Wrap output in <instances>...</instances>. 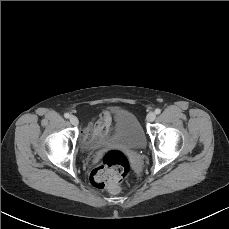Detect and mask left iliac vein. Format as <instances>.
Returning a JSON list of instances; mask_svg holds the SVG:
<instances>
[{
    "label": "left iliac vein",
    "mask_w": 229,
    "mask_h": 229,
    "mask_svg": "<svg viewBox=\"0 0 229 229\" xmlns=\"http://www.w3.org/2000/svg\"><path fill=\"white\" fill-rule=\"evenodd\" d=\"M155 118H156V114L154 112H149L148 115H147V117H146V119H147L148 122L154 121Z\"/></svg>",
    "instance_id": "1"
}]
</instances>
